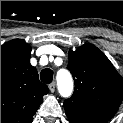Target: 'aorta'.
Masks as SVG:
<instances>
[{"mask_svg":"<svg viewBox=\"0 0 123 123\" xmlns=\"http://www.w3.org/2000/svg\"><path fill=\"white\" fill-rule=\"evenodd\" d=\"M58 85L60 94L67 97L71 94L73 89V82L70 74L67 71H61L58 74Z\"/></svg>","mask_w":123,"mask_h":123,"instance_id":"1","label":"aorta"}]
</instances>
